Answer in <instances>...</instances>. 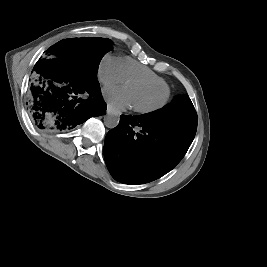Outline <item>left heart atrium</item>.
<instances>
[{"label":"left heart atrium","instance_id":"1","mask_svg":"<svg viewBox=\"0 0 267 267\" xmlns=\"http://www.w3.org/2000/svg\"><path fill=\"white\" fill-rule=\"evenodd\" d=\"M103 95L113 109L123 110L133 105L127 87H107L103 90Z\"/></svg>","mask_w":267,"mask_h":267}]
</instances>
